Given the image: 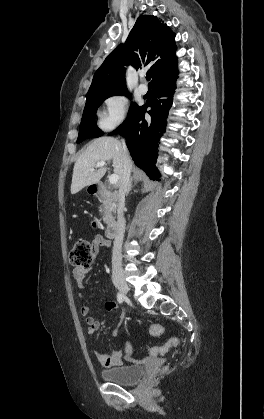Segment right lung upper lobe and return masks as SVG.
<instances>
[{"label": "right lung upper lobe", "instance_id": "obj_1", "mask_svg": "<svg viewBox=\"0 0 264 419\" xmlns=\"http://www.w3.org/2000/svg\"><path fill=\"white\" fill-rule=\"evenodd\" d=\"M171 29L156 16H140L125 44L117 46L94 74L87 97L126 91L125 67L152 64V83L177 72L176 46Z\"/></svg>", "mask_w": 264, "mask_h": 419}]
</instances>
